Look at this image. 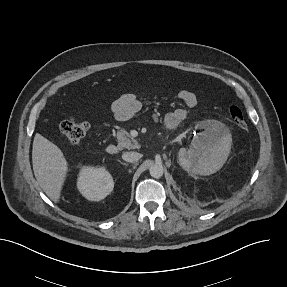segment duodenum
I'll return each instance as SVG.
<instances>
[{"label": "duodenum", "instance_id": "1", "mask_svg": "<svg viewBox=\"0 0 287 287\" xmlns=\"http://www.w3.org/2000/svg\"><path fill=\"white\" fill-rule=\"evenodd\" d=\"M105 151L108 153V154H115L118 152V148L115 144H108L105 148Z\"/></svg>", "mask_w": 287, "mask_h": 287}]
</instances>
